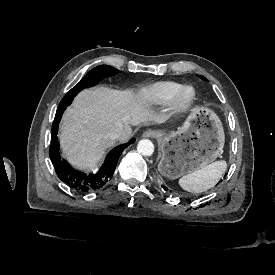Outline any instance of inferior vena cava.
<instances>
[{"instance_id":"1","label":"inferior vena cava","mask_w":275,"mask_h":275,"mask_svg":"<svg viewBox=\"0 0 275 275\" xmlns=\"http://www.w3.org/2000/svg\"><path fill=\"white\" fill-rule=\"evenodd\" d=\"M123 133V129L122 128H118L112 132H110L108 134V137L111 139V140H115V139H118Z\"/></svg>"}]
</instances>
